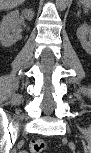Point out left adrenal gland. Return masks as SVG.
I'll return each mask as SVG.
<instances>
[{"instance_id": "obj_1", "label": "left adrenal gland", "mask_w": 91, "mask_h": 153, "mask_svg": "<svg viewBox=\"0 0 91 153\" xmlns=\"http://www.w3.org/2000/svg\"><path fill=\"white\" fill-rule=\"evenodd\" d=\"M77 16L79 17L80 16V12L78 11V13H77Z\"/></svg>"}]
</instances>
